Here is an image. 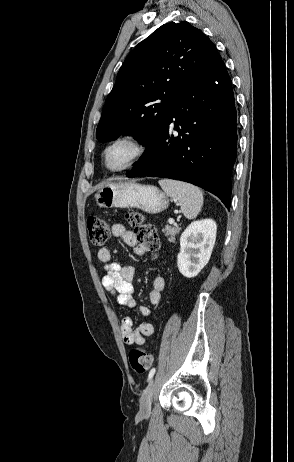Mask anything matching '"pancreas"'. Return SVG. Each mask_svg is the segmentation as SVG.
Here are the masks:
<instances>
[{
  "label": "pancreas",
  "instance_id": "obj_1",
  "mask_svg": "<svg viewBox=\"0 0 294 462\" xmlns=\"http://www.w3.org/2000/svg\"><path fill=\"white\" fill-rule=\"evenodd\" d=\"M181 228L179 226H166L163 228V233L168 237V240L171 242H175V237L179 234Z\"/></svg>",
  "mask_w": 294,
  "mask_h": 462
}]
</instances>
